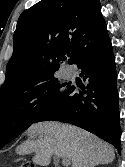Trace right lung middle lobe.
Instances as JSON below:
<instances>
[{
  "label": "right lung middle lobe",
  "instance_id": "obj_1",
  "mask_svg": "<svg viewBox=\"0 0 125 167\" xmlns=\"http://www.w3.org/2000/svg\"><path fill=\"white\" fill-rule=\"evenodd\" d=\"M70 85L52 77L16 96L0 100V148L26 130L51 104L63 101Z\"/></svg>",
  "mask_w": 125,
  "mask_h": 167
}]
</instances>
